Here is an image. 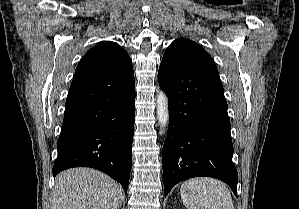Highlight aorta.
I'll return each mask as SVG.
<instances>
[{"label":"aorta","mask_w":299,"mask_h":209,"mask_svg":"<svg viewBox=\"0 0 299 209\" xmlns=\"http://www.w3.org/2000/svg\"><path fill=\"white\" fill-rule=\"evenodd\" d=\"M157 120L161 127V133L168 126L169 123V109H168V98L163 91L158 92L157 98Z\"/></svg>","instance_id":"762f6f07"}]
</instances>
